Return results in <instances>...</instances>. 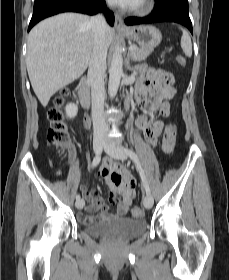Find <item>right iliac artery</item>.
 Segmentation results:
<instances>
[{
	"label": "right iliac artery",
	"instance_id": "1",
	"mask_svg": "<svg viewBox=\"0 0 229 280\" xmlns=\"http://www.w3.org/2000/svg\"><path fill=\"white\" fill-rule=\"evenodd\" d=\"M101 161V156L97 155L96 157H94L93 162H92V168L96 167ZM76 200H80V195L77 194L76 195Z\"/></svg>",
	"mask_w": 229,
	"mask_h": 280
}]
</instances>
